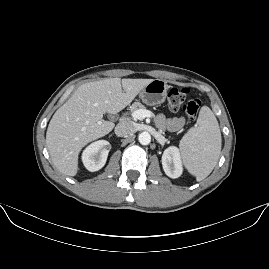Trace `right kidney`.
Instances as JSON below:
<instances>
[{"mask_svg":"<svg viewBox=\"0 0 269 269\" xmlns=\"http://www.w3.org/2000/svg\"><path fill=\"white\" fill-rule=\"evenodd\" d=\"M111 145L106 140L91 143L82 153V162L87 170L95 172L100 170L106 163Z\"/></svg>","mask_w":269,"mask_h":269,"instance_id":"ca27d5eb","label":"right kidney"}]
</instances>
